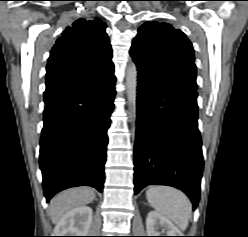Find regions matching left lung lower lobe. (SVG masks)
Returning a JSON list of instances; mask_svg holds the SVG:
<instances>
[{
  "instance_id": "obj_1",
  "label": "left lung lower lobe",
  "mask_w": 248,
  "mask_h": 237,
  "mask_svg": "<svg viewBox=\"0 0 248 237\" xmlns=\"http://www.w3.org/2000/svg\"><path fill=\"white\" fill-rule=\"evenodd\" d=\"M197 92L164 86L138 72L134 192L168 185L185 192L195 209L203 171Z\"/></svg>"
}]
</instances>
